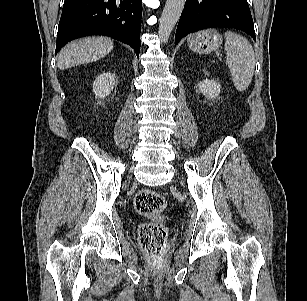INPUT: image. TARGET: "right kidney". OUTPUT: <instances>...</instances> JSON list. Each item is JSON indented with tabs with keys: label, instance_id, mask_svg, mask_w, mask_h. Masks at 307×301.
I'll return each mask as SVG.
<instances>
[{
	"label": "right kidney",
	"instance_id": "ca27d5eb",
	"mask_svg": "<svg viewBox=\"0 0 307 301\" xmlns=\"http://www.w3.org/2000/svg\"><path fill=\"white\" fill-rule=\"evenodd\" d=\"M116 83V75L114 73H102L100 74L93 83V92L96 97L105 98Z\"/></svg>",
	"mask_w": 307,
	"mask_h": 301
}]
</instances>
